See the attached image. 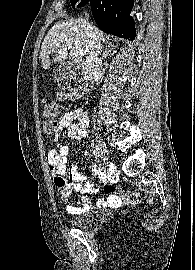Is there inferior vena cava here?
I'll return each mask as SVG.
<instances>
[{"instance_id": "obj_1", "label": "inferior vena cava", "mask_w": 195, "mask_h": 270, "mask_svg": "<svg viewBox=\"0 0 195 270\" xmlns=\"http://www.w3.org/2000/svg\"><path fill=\"white\" fill-rule=\"evenodd\" d=\"M87 20L88 15L86 14ZM87 31L89 33L90 38V49L86 56L87 66L91 69V73L93 74L94 80L97 82L102 78V60L100 58L102 51V44L97 36V34L93 31L92 26L87 22Z\"/></svg>"}]
</instances>
